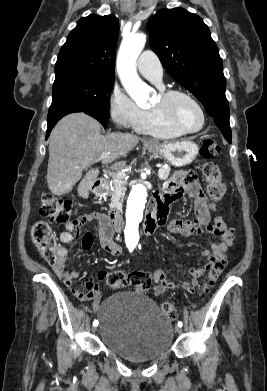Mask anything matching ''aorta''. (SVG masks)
Instances as JSON below:
<instances>
[{"instance_id": "1", "label": "aorta", "mask_w": 267, "mask_h": 391, "mask_svg": "<svg viewBox=\"0 0 267 391\" xmlns=\"http://www.w3.org/2000/svg\"><path fill=\"white\" fill-rule=\"evenodd\" d=\"M146 43L144 33L124 36L118 51L117 68L121 83L138 106H144L151 98V89L137 74L136 62ZM147 202V189L143 183L132 187L127 201L125 239L134 248L139 240V226Z\"/></svg>"}]
</instances>
